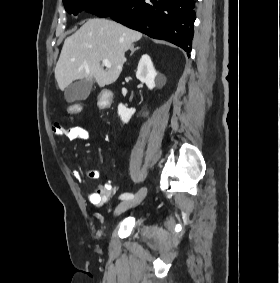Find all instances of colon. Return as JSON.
Wrapping results in <instances>:
<instances>
[{"label": "colon", "mask_w": 280, "mask_h": 283, "mask_svg": "<svg viewBox=\"0 0 280 283\" xmlns=\"http://www.w3.org/2000/svg\"><path fill=\"white\" fill-rule=\"evenodd\" d=\"M100 91L103 92L100 95V104L107 105L112 100V95L109 92H104L105 88L101 87ZM81 106L78 103H69V107H67V115L68 116H79L81 111Z\"/></svg>", "instance_id": "obj_1"}]
</instances>
